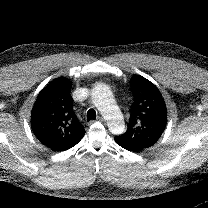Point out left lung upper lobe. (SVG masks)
<instances>
[{
	"label": "left lung upper lobe",
	"mask_w": 208,
	"mask_h": 208,
	"mask_svg": "<svg viewBox=\"0 0 208 208\" xmlns=\"http://www.w3.org/2000/svg\"><path fill=\"white\" fill-rule=\"evenodd\" d=\"M134 97L126 133L116 136L141 148L154 145L167 123L166 104L158 88L146 78L134 75L130 80Z\"/></svg>",
	"instance_id": "obj_1"
}]
</instances>
